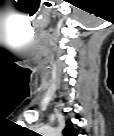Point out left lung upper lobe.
Here are the masks:
<instances>
[{
    "label": "left lung upper lobe",
    "instance_id": "5c2ea615",
    "mask_svg": "<svg viewBox=\"0 0 114 136\" xmlns=\"http://www.w3.org/2000/svg\"><path fill=\"white\" fill-rule=\"evenodd\" d=\"M63 133L65 136H77V131L73 128L71 121H66V127Z\"/></svg>",
    "mask_w": 114,
    "mask_h": 136
}]
</instances>
